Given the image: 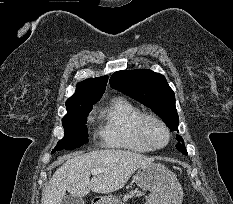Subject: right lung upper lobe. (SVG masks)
I'll use <instances>...</instances> for the list:
<instances>
[{
	"instance_id": "obj_1",
	"label": "right lung upper lobe",
	"mask_w": 233,
	"mask_h": 204,
	"mask_svg": "<svg viewBox=\"0 0 233 204\" xmlns=\"http://www.w3.org/2000/svg\"><path fill=\"white\" fill-rule=\"evenodd\" d=\"M107 80L106 75L78 83L75 94L66 101L67 109L89 106L99 101L105 91Z\"/></svg>"
}]
</instances>
